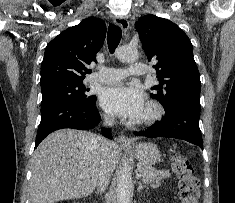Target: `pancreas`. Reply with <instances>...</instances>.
Listing matches in <instances>:
<instances>
[{
    "instance_id": "obj_1",
    "label": "pancreas",
    "mask_w": 235,
    "mask_h": 203,
    "mask_svg": "<svg viewBox=\"0 0 235 203\" xmlns=\"http://www.w3.org/2000/svg\"><path fill=\"white\" fill-rule=\"evenodd\" d=\"M137 171L142 175L144 183L159 185L162 179L170 177L169 170H156L152 165L137 164Z\"/></svg>"
}]
</instances>
